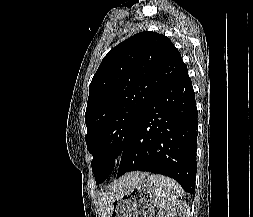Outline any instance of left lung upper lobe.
Returning <instances> with one entry per match:
<instances>
[{"mask_svg": "<svg viewBox=\"0 0 253 217\" xmlns=\"http://www.w3.org/2000/svg\"><path fill=\"white\" fill-rule=\"evenodd\" d=\"M184 65L169 38L148 31L103 58L89 86L85 113V140L97 183L111 174L138 117Z\"/></svg>", "mask_w": 253, "mask_h": 217, "instance_id": "1", "label": "left lung upper lobe"}]
</instances>
